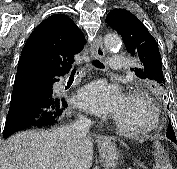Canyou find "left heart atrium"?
<instances>
[{"label": "left heart atrium", "mask_w": 177, "mask_h": 169, "mask_svg": "<svg viewBox=\"0 0 177 169\" xmlns=\"http://www.w3.org/2000/svg\"><path fill=\"white\" fill-rule=\"evenodd\" d=\"M77 105L96 115H113L122 108L125 97L121 89L104 80L82 87L76 96Z\"/></svg>", "instance_id": "39dd6f15"}]
</instances>
